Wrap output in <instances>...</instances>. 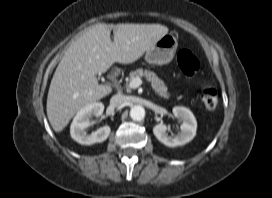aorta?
<instances>
[{"instance_id":"1","label":"aorta","mask_w":272,"mask_h":198,"mask_svg":"<svg viewBox=\"0 0 272 198\" xmlns=\"http://www.w3.org/2000/svg\"><path fill=\"white\" fill-rule=\"evenodd\" d=\"M130 117L134 121H141L145 117V109L140 105H135L130 110Z\"/></svg>"}]
</instances>
